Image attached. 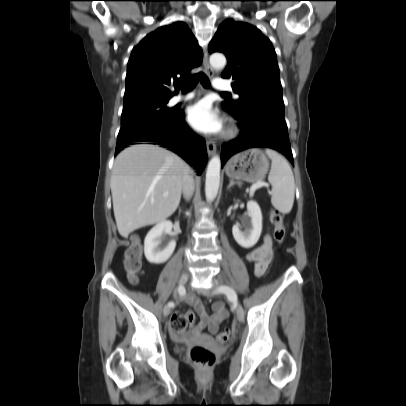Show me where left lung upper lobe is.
Returning <instances> with one entry per match:
<instances>
[{
	"instance_id": "5c2ea615",
	"label": "left lung upper lobe",
	"mask_w": 406,
	"mask_h": 406,
	"mask_svg": "<svg viewBox=\"0 0 406 406\" xmlns=\"http://www.w3.org/2000/svg\"><path fill=\"white\" fill-rule=\"evenodd\" d=\"M209 52L226 55L222 77L233 80L232 88L239 95L236 101L223 102V109L238 118L255 109L284 114L276 53L259 29L227 19L210 42Z\"/></svg>"
}]
</instances>
